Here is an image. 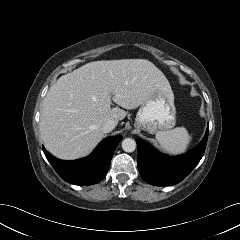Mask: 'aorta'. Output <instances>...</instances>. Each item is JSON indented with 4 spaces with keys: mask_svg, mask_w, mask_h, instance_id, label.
Segmentation results:
<instances>
[{
    "mask_svg": "<svg viewBox=\"0 0 240 240\" xmlns=\"http://www.w3.org/2000/svg\"><path fill=\"white\" fill-rule=\"evenodd\" d=\"M122 149L125 152H133L136 149V142L134 139L126 138L122 141Z\"/></svg>",
    "mask_w": 240,
    "mask_h": 240,
    "instance_id": "aorta-1",
    "label": "aorta"
}]
</instances>
